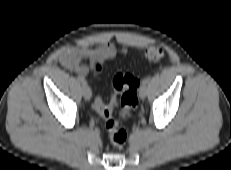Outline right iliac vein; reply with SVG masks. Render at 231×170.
<instances>
[{
	"mask_svg": "<svg viewBox=\"0 0 231 170\" xmlns=\"http://www.w3.org/2000/svg\"><path fill=\"white\" fill-rule=\"evenodd\" d=\"M82 93L85 98V100H90L92 96V91L88 85H83L82 87Z\"/></svg>",
	"mask_w": 231,
	"mask_h": 170,
	"instance_id": "1",
	"label": "right iliac vein"
}]
</instances>
